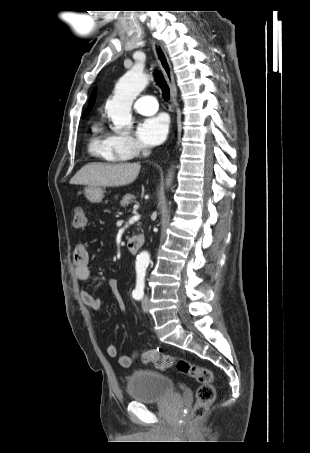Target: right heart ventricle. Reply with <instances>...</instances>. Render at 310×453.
I'll use <instances>...</instances> for the list:
<instances>
[{"label":"right heart ventricle","mask_w":310,"mask_h":453,"mask_svg":"<svg viewBox=\"0 0 310 453\" xmlns=\"http://www.w3.org/2000/svg\"><path fill=\"white\" fill-rule=\"evenodd\" d=\"M88 149L94 157L107 162H121L126 159L112 148L109 135L99 122H95L92 125Z\"/></svg>","instance_id":"1"}]
</instances>
